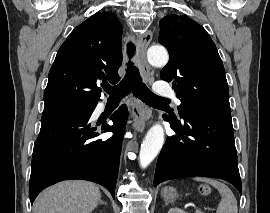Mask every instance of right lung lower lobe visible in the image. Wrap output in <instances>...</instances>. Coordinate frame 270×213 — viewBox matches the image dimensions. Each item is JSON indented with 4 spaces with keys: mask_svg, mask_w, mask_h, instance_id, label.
<instances>
[{
    "mask_svg": "<svg viewBox=\"0 0 270 213\" xmlns=\"http://www.w3.org/2000/svg\"><path fill=\"white\" fill-rule=\"evenodd\" d=\"M97 105V104H96ZM86 113L65 111L43 113L39 136L34 143L29 184L31 203L46 187L69 179H83L106 187L115 197L122 136L128 117L122 105L110 117L113 125L101 132L113 136L97 139L100 132L90 124L96 107Z\"/></svg>",
    "mask_w": 270,
    "mask_h": 213,
    "instance_id": "right-lung-lower-lobe-1",
    "label": "right lung lower lobe"
}]
</instances>
